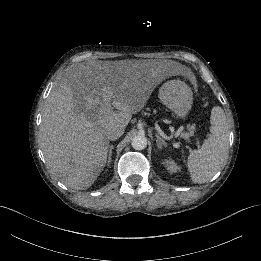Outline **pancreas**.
Instances as JSON below:
<instances>
[{"label": "pancreas", "mask_w": 261, "mask_h": 261, "mask_svg": "<svg viewBox=\"0 0 261 261\" xmlns=\"http://www.w3.org/2000/svg\"><path fill=\"white\" fill-rule=\"evenodd\" d=\"M189 129H192V126H188ZM184 135H187L188 137L193 135V131H191L190 133H183Z\"/></svg>", "instance_id": "cf45deb5"}]
</instances>
